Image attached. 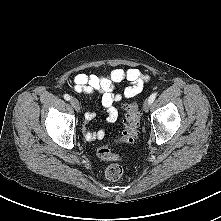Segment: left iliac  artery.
<instances>
[{
	"label": "left iliac artery",
	"mask_w": 221,
	"mask_h": 221,
	"mask_svg": "<svg viewBox=\"0 0 221 221\" xmlns=\"http://www.w3.org/2000/svg\"><path fill=\"white\" fill-rule=\"evenodd\" d=\"M156 95H157V93H155V92H154V93H152V94L150 95V97H149V99H148V100H149V102H150V104H151V103H153V101H154V100H155V98H156Z\"/></svg>",
	"instance_id": "obj_1"
}]
</instances>
